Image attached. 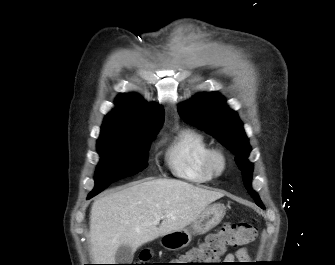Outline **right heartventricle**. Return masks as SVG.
<instances>
[{
    "instance_id": "e07e8e85",
    "label": "right heart ventricle",
    "mask_w": 335,
    "mask_h": 265,
    "mask_svg": "<svg viewBox=\"0 0 335 265\" xmlns=\"http://www.w3.org/2000/svg\"><path fill=\"white\" fill-rule=\"evenodd\" d=\"M211 147L203 134L185 128L178 132L166 148V161L171 172L188 182L207 183L216 176L206 166Z\"/></svg>"
}]
</instances>
